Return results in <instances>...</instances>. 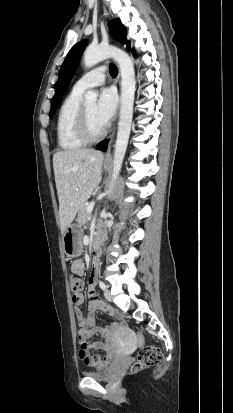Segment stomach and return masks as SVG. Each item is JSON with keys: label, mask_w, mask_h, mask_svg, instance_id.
<instances>
[{"label": "stomach", "mask_w": 233, "mask_h": 413, "mask_svg": "<svg viewBox=\"0 0 233 413\" xmlns=\"http://www.w3.org/2000/svg\"><path fill=\"white\" fill-rule=\"evenodd\" d=\"M104 168H108L107 164H104ZM82 229L77 225H70L63 234V249L68 257L73 258L75 255H81L82 253Z\"/></svg>", "instance_id": "1"}]
</instances>
